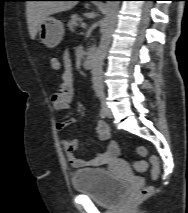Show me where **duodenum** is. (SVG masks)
<instances>
[{
    "label": "duodenum",
    "mask_w": 188,
    "mask_h": 213,
    "mask_svg": "<svg viewBox=\"0 0 188 213\" xmlns=\"http://www.w3.org/2000/svg\"><path fill=\"white\" fill-rule=\"evenodd\" d=\"M96 62V50L93 49L84 60V67L86 69H93Z\"/></svg>",
    "instance_id": "1"
}]
</instances>
